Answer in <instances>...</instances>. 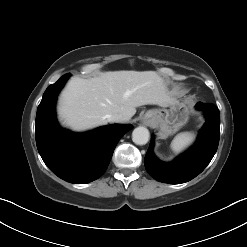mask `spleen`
I'll return each instance as SVG.
<instances>
[{"label": "spleen", "mask_w": 247, "mask_h": 247, "mask_svg": "<svg viewBox=\"0 0 247 247\" xmlns=\"http://www.w3.org/2000/svg\"><path fill=\"white\" fill-rule=\"evenodd\" d=\"M195 140V134L192 132H182L175 136L171 142V149L176 153H181Z\"/></svg>", "instance_id": "1"}]
</instances>
